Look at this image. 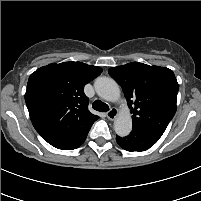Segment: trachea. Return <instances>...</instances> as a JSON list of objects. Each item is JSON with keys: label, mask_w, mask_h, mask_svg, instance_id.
I'll use <instances>...</instances> for the list:
<instances>
[{"label": "trachea", "mask_w": 201, "mask_h": 201, "mask_svg": "<svg viewBox=\"0 0 201 201\" xmlns=\"http://www.w3.org/2000/svg\"><path fill=\"white\" fill-rule=\"evenodd\" d=\"M92 107L99 112H107L109 110V106L100 100L94 101Z\"/></svg>", "instance_id": "trachea-1"}]
</instances>
